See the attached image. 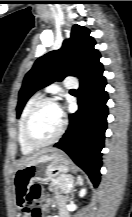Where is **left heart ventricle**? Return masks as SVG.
<instances>
[{
	"mask_svg": "<svg viewBox=\"0 0 132 217\" xmlns=\"http://www.w3.org/2000/svg\"><path fill=\"white\" fill-rule=\"evenodd\" d=\"M61 115L54 105H45L34 116L30 133L37 142H46L52 139L59 130Z\"/></svg>",
	"mask_w": 132,
	"mask_h": 217,
	"instance_id": "1",
	"label": "left heart ventricle"
}]
</instances>
